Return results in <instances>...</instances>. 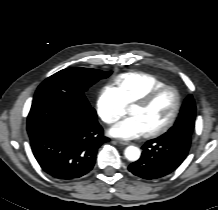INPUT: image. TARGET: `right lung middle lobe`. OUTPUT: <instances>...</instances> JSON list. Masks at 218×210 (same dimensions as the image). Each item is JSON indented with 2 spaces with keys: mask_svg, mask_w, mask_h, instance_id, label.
<instances>
[{
  "mask_svg": "<svg viewBox=\"0 0 218 210\" xmlns=\"http://www.w3.org/2000/svg\"><path fill=\"white\" fill-rule=\"evenodd\" d=\"M111 73V71L103 72L81 67L61 70L40 84L35 92L33 102L51 99L90 109L92 107L84 92L92 84L107 78Z\"/></svg>",
  "mask_w": 218,
  "mask_h": 210,
  "instance_id": "dd1d6c3e",
  "label": "right lung middle lobe"
}]
</instances>
